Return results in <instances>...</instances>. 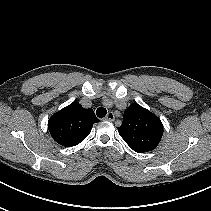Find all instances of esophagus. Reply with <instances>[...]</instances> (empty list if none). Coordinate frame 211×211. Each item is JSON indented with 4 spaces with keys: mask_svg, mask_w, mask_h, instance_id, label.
<instances>
[{
    "mask_svg": "<svg viewBox=\"0 0 211 211\" xmlns=\"http://www.w3.org/2000/svg\"><path fill=\"white\" fill-rule=\"evenodd\" d=\"M105 119L109 120V121H114V119H115L114 113L113 112H108L106 117H105Z\"/></svg>",
    "mask_w": 211,
    "mask_h": 211,
    "instance_id": "1",
    "label": "esophagus"
}]
</instances>
